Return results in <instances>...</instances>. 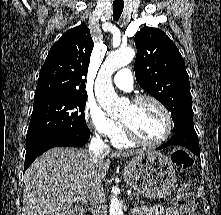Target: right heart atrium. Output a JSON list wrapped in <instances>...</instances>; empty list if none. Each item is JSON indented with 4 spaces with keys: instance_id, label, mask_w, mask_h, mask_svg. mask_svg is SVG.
<instances>
[{
    "instance_id": "right-heart-atrium-1",
    "label": "right heart atrium",
    "mask_w": 221,
    "mask_h": 215,
    "mask_svg": "<svg viewBox=\"0 0 221 215\" xmlns=\"http://www.w3.org/2000/svg\"><path fill=\"white\" fill-rule=\"evenodd\" d=\"M84 118L93 133L103 138L112 139L121 130V124L110 118L95 102L86 103Z\"/></svg>"
}]
</instances>
